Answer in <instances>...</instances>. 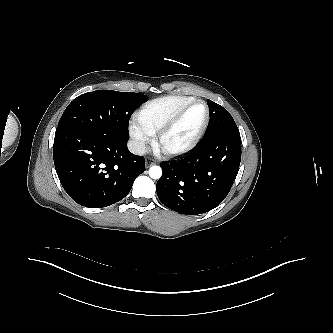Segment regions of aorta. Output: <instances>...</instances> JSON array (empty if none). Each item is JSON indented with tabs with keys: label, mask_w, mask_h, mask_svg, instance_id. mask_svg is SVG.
<instances>
[{
	"label": "aorta",
	"mask_w": 333,
	"mask_h": 333,
	"mask_svg": "<svg viewBox=\"0 0 333 333\" xmlns=\"http://www.w3.org/2000/svg\"><path fill=\"white\" fill-rule=\"evenodd\" d=\"M149 176L152 179H159L162 176V169L159 166L150 167Z\"/></svg>",
	"instance_id": "762f6f07"
}]
</instances>
